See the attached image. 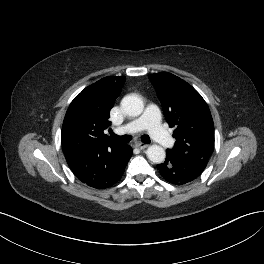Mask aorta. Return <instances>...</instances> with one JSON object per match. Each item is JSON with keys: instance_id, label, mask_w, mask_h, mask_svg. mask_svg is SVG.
I'll return each mask as SVG.
<instances>
[{"instance_id": "obj_1", "label": "aorta", "mask_w": 264, "mask_h": 264, "mask_svg": "<svg viewBox=\"0 0 264 264\" xmlns=\"http://www.w3.org/2000/svg\"><path fill=\"white\" fill-rule=\"evenodd\" d=\"M121 107L127 115L136 117L143 112L144 104L137 95L130 94L122 99ZM146 154L148 159L156 164L163 163L166 157L164 149L159 145H151L148 147Z\"/></svg>"}]
</instances>
